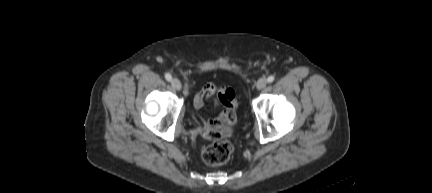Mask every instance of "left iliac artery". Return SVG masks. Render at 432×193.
Listing matches in <instances>:
<instances>
[{"mask_svg": "<svg viewBox=\"0 0 432 193\" xmlns=\"http://www.w3.org/2000/svg\"><path fill=\"white\" fill-rule=\"evenodd\" d=\"M274 79H275V77H274L273 75H270V76L267 78V82H268V83H272V82L274 81Z\"/></svg>", "mask_w": 432, "mask_h": 193, "instance_id": "44dca946", "label": "left iliac artery"}]
</instances>
